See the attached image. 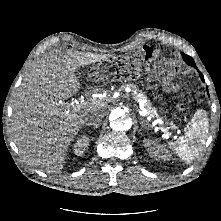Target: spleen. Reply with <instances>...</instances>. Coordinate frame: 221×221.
I'll return each instance as SVG.
<instances>
[{"label":"spleen","instance_id":"obj_1","mask_svg":"<svg viewBox=\"0 0 221 221\" xmlns=\"http://www.w3.org/2000/svg\"><path fill=\"white\" fill-rule=\"evenodd\" d=\"M208 123L206 112L198 110L185 127V135L169 143V147L186 163H191L205 145L209 130Z\"/></svg>","mask_w":221,"mask_h":221}]
</instances>
